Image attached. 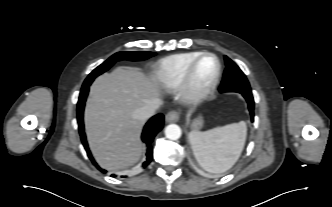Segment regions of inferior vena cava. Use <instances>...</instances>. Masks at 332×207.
Instances as JSON below:
<instances>
[{"instance_id": "1", "label": "inferior vena cava", "mask_w": 332, "mask_h": 207, "mask_svg": "<svg viewBox=\"0 0 332 207\" xmlns=\"http://www.w3.org/2000/svg\"><path fill=\"white\" fill-rule=\"evenodd\" d=\"M161 102L158 100H153L149 102V104L144 105L143 107L137 109L134 112V115L139 120H146L149 117L153 116L156 112V110L160 107Z\"/></svg>"}]
</instances>
